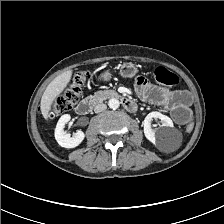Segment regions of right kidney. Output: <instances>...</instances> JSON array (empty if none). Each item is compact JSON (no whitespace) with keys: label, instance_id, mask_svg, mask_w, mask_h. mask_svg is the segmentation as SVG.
I'll use <instances>...</instances> for the list:
<instances>
[{"label":"right kidney","instance_id":"obj_1","mask_svg":"<svg viewBox=\"0 0 224 224\" xmlns=\"http://www.w3.org/2000/svg\"><path fill=\"white\" fill-rule=\"evenodd\" d=\"M70 119L71 116L69 114L62 115L58 120L55 128V139L58 144L64 148H75L85 138V134L81 130H78L76 133H74L72 137L70 133H66L64 131V126L70 121Z\"/></svg>","mask_w":224,"mask_h":224}]
</instances>
